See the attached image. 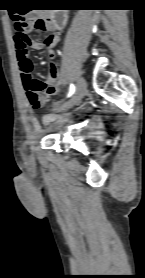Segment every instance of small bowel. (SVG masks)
I'll return each instance as SVG.
<instances>
[{"label": "small bowel", "mask_w": 145, "mask_h": 278, "mask_svg": "<svg viewBox=\"0 0 145 278\" xmlns=\"http://www.w3.org/2000/svg\"><path fill=\"white\" fill-rule=\"evenodd\" d=\"M31 19L34 20L35 15H31ZM32 30H33L32 26L26 28L25 34L27 37H28L27 33ZM46 30L50 31L51 33L47 37H45L43 41L33 40L28 37L29 40L27 44L28 48H32L34 50H40L44 46H47L48 48L55 47L60 41V36L57 33L52 32L53 28H51L49 25ZM14 40L17 46L18 42L15 36H14ZM18 70H19V77H20L21 84L23 85L25 95L28 98V93H29L28 83L30 80L33 79V77H32V62L27 56H25L23 59L18 58ZM56 78H57V66L56 63L52 61L49 64V71L47 77L48 85L44 86L43 83L36 81L40 85L39 91L42 100V105H44L52 96L58 93V88L55 85ZM50 119L51 118H47V120ZM31 132L34 135H38L42 132V127L40 126L39 122L37 121L34 122Z\"/></svg>", "instance_id": "1"}]
</instances>
